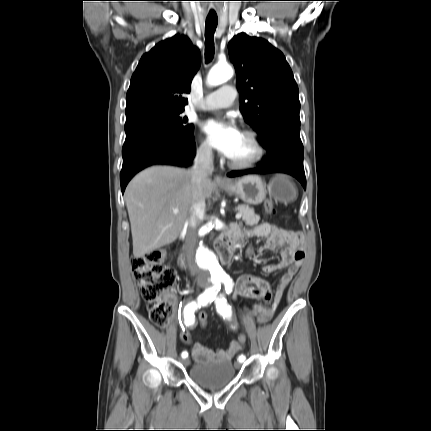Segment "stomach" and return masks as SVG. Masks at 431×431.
I'll return each instance as SVG.
<instances>
[{
  "label": "stomach",
  "mask_w": 431,
  "mask_h": 431,
  "mask_svg": "<svg viewBox=\"0 0 431 431\" xmlns=\"http://www.w3.org/2000/svg\"><path fill=\"white\" fill-rule=\"evenodd\" d=\"M221 188L251 205L262 203L267 194L266 186L258 176L236 179ZM269 194L275 200L287 202L296 198V189L284 176H277L270 183Z\"/></svg>",
  "instance_id": "stomach-1"
}]
</instances>
